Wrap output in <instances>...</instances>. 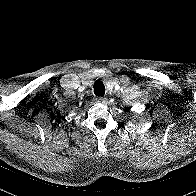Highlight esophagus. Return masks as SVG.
Segmentation results:
<instances>
[{"label": "esophagus", "instance_id": "esophagus-1", "mask_svg": "<svg viewBox=\"0 0 196 196\" xmlns=\"http://www.w3.org/2000/svg\"><path fill=\"white\" fill-rule=\"evenodd\" d=\"M104 99H105L104 97H101V96H100V97H97V98H96V101H97V102H103Z\"/></svg>", "mask_w": 196, "mask_h": 196}]
</instances>
